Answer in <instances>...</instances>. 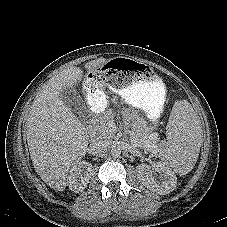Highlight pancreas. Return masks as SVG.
<instances>
[{"label": "pancreas", "mask_w": 227, "mask_h": 227, "mask_svg": "<svg viewBox=\"0 0 227 227\" xmlns=\"http://www.w3.org/2000/svg\"><path fill=\"white\" fill-rule=\"evenodd\" d=\"M113 116L110 112H107L102 118H100L97 126V133L99 137L104 139H112L115 136V129L111 127L113 124ZM130 141L133 145L142 147L146 151H154L155 147L146 136H142L136 132H133L130 137Z\"/></svg>", "instance_id": "pancreas-1"}]
</instances>
